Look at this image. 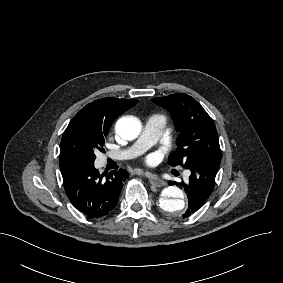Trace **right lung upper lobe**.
Here are the masks:
<instances>
[{
    "mask_svg": "<svg viewBox=\"0 0 283 283\" xmlns=\"http://www.w3.org/2000/svg\"><path fill=\"white\" fill-rule=\"evenodd\" d=\"M137 103L138 100L112 97L96 100L82 108L71 122L98 125L103 129L109 130L112 122L119 115L132 108Z\"/></svg>",
    "mask_w": 283,
    "mask_h": 283,
    "instance_id": "right-lung-upper-lobe-1",
    "label": "right lung upper lobe"
}]
</instances>
